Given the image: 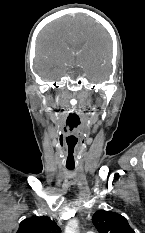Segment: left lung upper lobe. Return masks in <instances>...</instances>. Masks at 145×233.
<instances>
[{
  "instance_id": "obj_1",
  "label": "left lung upper lobe",
  "mask_w": 145,
  "mask_h": 233,
  "mask_svg": "<svg viewBox=\"0 0 145 233\" xmlns=\"http://www.w3.org/2000/svg\"><path fill=\"white\" fill-rule=\"evenodd\" d=\"M92 221L99 233H135L127 219L115 212L99 210Z\"/></svg>"
}]
</instances>
